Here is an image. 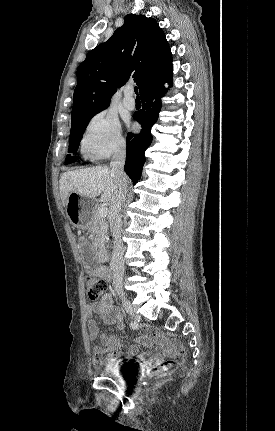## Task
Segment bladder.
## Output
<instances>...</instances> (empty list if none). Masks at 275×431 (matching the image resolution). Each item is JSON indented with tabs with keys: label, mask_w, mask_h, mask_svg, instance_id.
Returning a JSON list of instances; mask_svg holds the SVG:
<instances>
[{
	"label": "bladder",
	"mask_w": 275,
	"mask_h": 431,
	"mask_svg": "<svg viewBox=\"0 0 275 431\" xmlns=\"http://www.w3.org/2000/svg\"><path fill=\"white\" fill-rule=\"evenodd\" d=\"M102 371L104 374L111 376L116 382H126L129 372V366L126 362L118 361L113 363H106Z\"/></svg>",
	"instance_id": "bladder-1"
}]
</instances>
